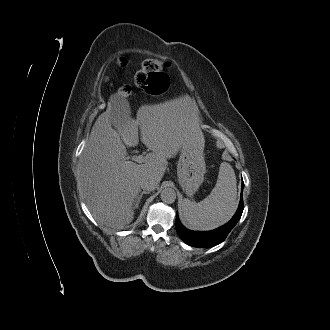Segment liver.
Masks as SVG:
<instances>
[{"instance_id":"obj_1","label":"liver","mask_w":330,"mask_h":330,"mask_svg":"<svg viewBox=\"0 0 330 330\" xmlns=\"http://www.w3.org/2000/svg\"><path fill=\"white\" fill-rule=\"evenodd\" d=\"M196 112L190 101H171L141 106L136 120L128 109L112 106L98 117L79 162L78 185L99 224L117 229L130 224L142 178L151 175L160 182L167 159L183 146L204 147ZM138 126L141 141L152 151L142 164L126 157V146L138 144Z\"/></svg>"}]
</instances>
